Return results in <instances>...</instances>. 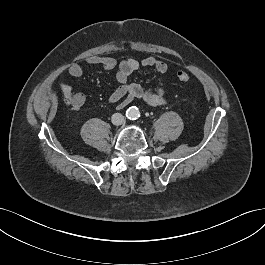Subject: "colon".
Here are the masks:
<instances>
[{
    "instance_id": "obj_1",
    "label": "colon",
    "mask_w": 265,
    "mask_h": 265,
    "mask_svg": "<svg viewBox=\"0 0 265 265\" xmlns=\"http://www.w3.org/2000/svg\"><path fill=\"white\" fill-rule=\"evenodd\" d=\"M177 76L181 83H188L190 81V75L187 72L179 71Z\"/></svg>"
}]
</instances>
